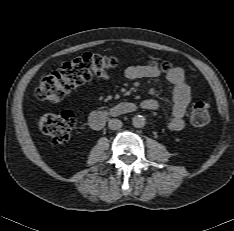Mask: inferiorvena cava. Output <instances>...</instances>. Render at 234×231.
<instances>
[{
	"label": "inferior vena cava",
	"mask_w": 234,
	"mask_h": 231,
	"mask_svg": "<svg viewBox=\"0 0 234 231\" xmlns=\"http://www.w3.org/2000/svg\"><path fill=\"white\" fill-rule=\"evenodd\" d=\"M108 127L112 130H117L122 127V122L119 119L109 120Z\"/></svg>",
	"instance_id": "obj_1"
}]
</instances>
